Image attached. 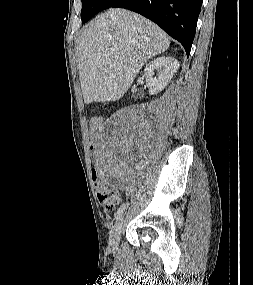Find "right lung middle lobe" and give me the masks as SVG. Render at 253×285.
Returning <instances> with one entry per match:
<instances>
[{"instance_id": "1", "label": "right lung middle lobe", "mask_w": 253, "mask_h": 285, "mask_svg": "<svg viewBox=\"0 0 253 285\" xmlns=\"http://www.w3.org/2000/svg\"><path fill=\"white\" fill-rule=\"evenodd\" d=\"M117 0H82L81 19L87 22L98 12L111 7Z\"/></svg>"}]
</instances>
